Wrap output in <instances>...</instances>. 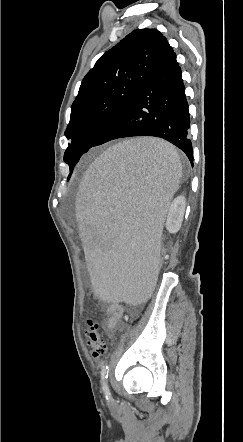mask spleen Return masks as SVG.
Returning a JSON list of instances; mask_svg holds the SVG:
<instances>
[{
  "label": "spleen",
  "mask_w": 243,
  "mask_h": 442,
  "mask_svg": "<svg viewBox=\"0 0 243 442\" xmlns=\"http://www.w3.org/2000/svg\"><path fill=\"white\" fill-rule=\"evenodd\" d=\"M181 177L172 145L138 138L107 150L82 178L75 226H82V256L88 258L92 291L102 302L143 307L145 296H151L162 226Z\"/></svg>",
  "instance_id": "obj_1"
}]
</instances>
